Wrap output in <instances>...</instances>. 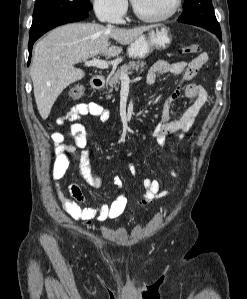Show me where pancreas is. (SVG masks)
<instances>
[{
	"label": "pancreas",
	"mask_w": 247,
	"mask_h": 299,
	"mask_svg": "<svg viewBox=\"0 0 247 299\" xmlns=\"http://www.w3.org/2000/svg\"><path fill=\"white\" fill-rule=\"evenodd\" d=\"M145 65L146 63L143 61H131L128 64L121 66V68L113 73L108 79V85L110 87L109 92H113V89L116 91L119 89L122 73L130 74L133 70L143 72ZM106 98L109 99L110 95L108 94Z\"/></svg>",
	"instance_id": "cf45deb5"
}]
</instances>
